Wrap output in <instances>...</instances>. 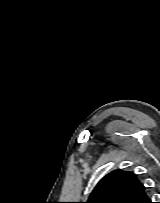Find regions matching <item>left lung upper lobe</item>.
<instances>
[{
    "instance_id": "obj_1",
    "label": "left lung upper lobe",
    "mask_w": 160,
    "mask_h": 203,
    "mask_svg": "<svg viewBox=\"0 0 160 203\" xmlns=\"http://www.w3.org/2000/svg\"><path fill=\"white\" fill-rule=\"evenodd\" d=\"M86 203H152L145 186L128 171L115 170L100 180Z\"/></svg>"
}]
</instances>
